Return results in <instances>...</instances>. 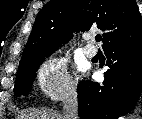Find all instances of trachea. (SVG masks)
<instances>
[{
  "label": "trachea",
  "instance_id": "obj_1",
  "mask_svg": "<svg viewBox=\"0 0 142 119\" xmlns=\"http://www.w3.org/2000/svg\"><path fill=\"white\" fill-rule=\"evenodd\" d=\"M101 39H102L101 35H96V37H95L96 42H100Z\"/></svg>",
  "mask_w": 142,
  "mask_h": 119
}]
</instances>
